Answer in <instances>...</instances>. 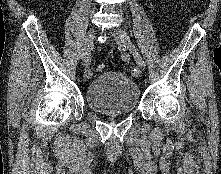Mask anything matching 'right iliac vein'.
<instances>
[{
    "instance_id": "right-iliac-vein-1",
    "label": "right iliac vein",
    "mask_w": 221,
    "mask_h": 174,
    "mask_svg": "<svg viewBox=\"0 0 221 174\" xmlns=\"http://www.w3.org/2000/svg\"><path fill=\"white\" fill-rule=\"evenodd\" d=\"M95 32H96L95 29L91 28L85 36L84 48L81 54V58L83 61L86 59V57L90 53V46L92 45L93 39L95 37Z\"/></svg>"
}]
</instances>
